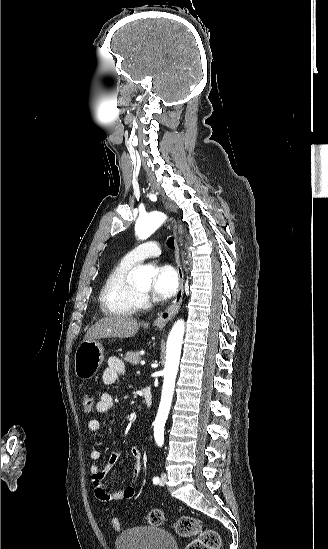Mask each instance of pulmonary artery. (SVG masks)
I'll use <instances>...</instances> for the list:
<instances>
[{"instance_id":"1","label":"pulmonary artery","mask_w":328,"mask_h":549,"mask_svg":"<svg viewBox=\"0 0 328 549\" xmlns=\"http://www.w3.org/2000/svg\"><path fill=\"white\" fill-rule=\"evenodd\" d=\"M161 241L155 238L152 242L145 241L141 247H135L126 254V258L134 262H142L150 257H158L163 253V250L158 247Z\"/></svg>"}]
</instances>
